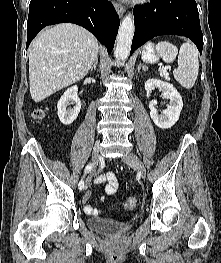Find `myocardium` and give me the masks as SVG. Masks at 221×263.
Here are the masks:
<instances>
[{
    "label": "myocardium",
    "instance_id": "1",
    "mask_svg": "<svg viewBox=\"0 0 221 263\" xmlns=\"http://www.w3.org/2000/svg\"><path fill=\"white\" fill-rule=\"evenodd\" d=\"M140 2H145V1H147V0H139Z\"/></svg>",
    "mask_w": 221,
    "mask_h": 263
}]
</instances>
